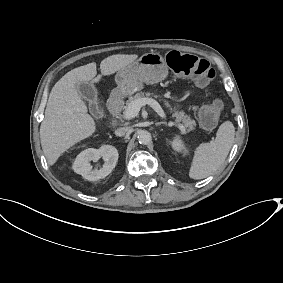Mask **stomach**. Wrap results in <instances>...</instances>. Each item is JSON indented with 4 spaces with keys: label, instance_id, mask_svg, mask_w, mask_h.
<instances>
[{
    "label": "stomach",
    "instance_id": "0dacf381",
    "mask_svg": "<svg viewBox=\"0 0 283 283\" xmlns=\"http://www.w3.org/2000/svg\"><path fill=\"white\" fill-rule=\"evenodd\" d=\"M169 68L158 52L143 54L133 64L118 71L116 75V94L130 96L143 87V83L149 85L158 84L167 79Z\"/></svg>",
    "mask_w": 283,
    "mask_h": 283
}]
</instances>
